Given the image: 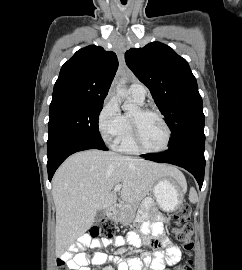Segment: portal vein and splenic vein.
Here are the masks:
<instances>
[{
	"label": "portal vein and splenic vein",
	"mask_w": 242,
	"mask_h": 270,
	"mask_svg": "<svg viewBox=\"0 0 242 270\" xmlns=\"http://www.w3.org/2000/svg\"><path fill=\"white\" fill-rule=\"evenodd\" d=\"M121 188H122V185H121V184H117V185L114 187V193H117L118 191H120Z\"/></svg>",
	"instance_id": "obj_1"
}]
</instances>
